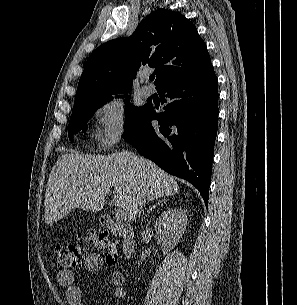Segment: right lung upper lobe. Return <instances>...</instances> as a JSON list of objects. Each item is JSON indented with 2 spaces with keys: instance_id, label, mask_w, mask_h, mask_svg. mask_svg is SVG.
Here are the masks:
<instances>
[{
  "instance_id": "obj_1",
  "label": "right lung upper lobe",
  "mask_w": 297,
  "mask_h": 305,
  "mask_svg": "<svg viewBox=\"0 0 297 305\" xmlns=\"http://www.w3.org/2000/svg\"><path fill=\"white\" fill-rule=\"evenodd\" d=\"M209 66V53L194 24L178 12L157 9L130 37L108 41L89 56L75 102L131 90L143 67L155 68L157 89Z\"/></svg>"
}]
</instances>
